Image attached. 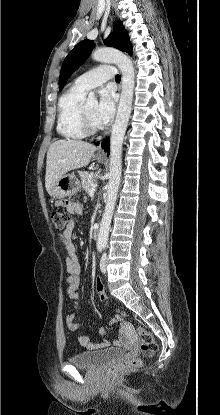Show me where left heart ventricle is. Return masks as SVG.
Returning a JSON list of instances; mask_svg holds the SVG:
<instances>
[{
    "label": "left heart ventricle",
    "mask_w": 220,
    "mask_h": 415,
    "mask_svg": "<svg viewBox=\"0 0 220 415\" xmlns=\"http://www.w3.org/2000/svg\"><path fill=\"white\" fill-rule=\"evenodd\" d=\"M96 104L95 103H85V111L86 114L91 122V124L93 126H98V124L96 123L94 117H93V112L95 110Z\"/></svg>",
    "instance_id": "left-heart-ventricle-1"
}]
</instances>
